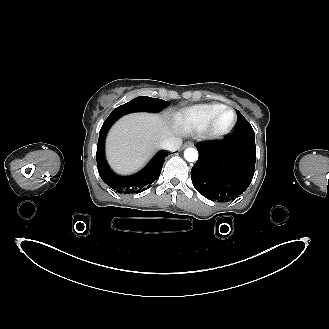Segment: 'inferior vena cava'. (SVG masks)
Listing matches in <instances>:
<instances>
[{"label": "inferior vena cava", "instance_id": "obj_1", "mask_svg": "<svg viewBox=\"0 0 329 329\" xmlns=\"http://www.w3.org/2000/svg\"><path fill=\"white\" fill-rule=\"evenodd\" d=\"M181 144V138L170 137L162 141L160 147L168 151L174 152L180 148Z\"/></svg>", "mask_w": 329, "mask_h": 329}]
</instances>
